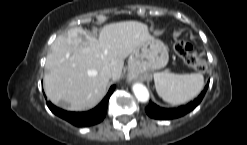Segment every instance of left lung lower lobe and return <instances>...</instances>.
I'll use <instances>...</instances> for the list:
<instances>
[{"instance_id": "left-lung-lower-lobe-1", "label": "left lung lower lobe", "mask_w": 247, "mask_h": 145, "mask_svg": "<svg viewBox=\"0 0 247 145\" xmlns=\"http://www.w3.org/2000/svg\"><path fill=\"white\" fill-rule=\"evenodd\" d=\"M208 85L205 86L204 90L201 92L198 98H196L194 101L190 102L189 104L185 106H180L176 109H166L161 108L150 101L149 105L146 107V113L154 118V119H174L181 117L191 110H193L203 99L206 91H207Z\"/></svg>"}]
</instances>
